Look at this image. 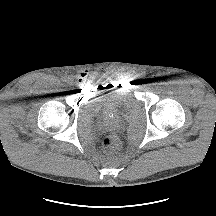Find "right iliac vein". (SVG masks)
<instances>
[{"instance_id":"right-iliac-vein-1","label":"right iliac vein","mask_w":216,"mask_h":216,"mask_svg":"<svg viewBox=\"0 0 216 216\" xmlns=\"http://www.w3.org/2000/svg\"><path fill=\"white\" fill-rule=\"evenodd\" d=\"M68 81H69V82H68V86H70V87L72 88V87L74 86V85H73V81H70L69 79H68Z\"/></svg>"}]
</instances>
